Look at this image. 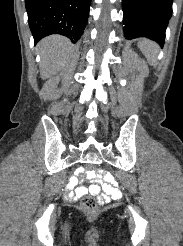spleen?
<instances>
[{"label":"spleen","instance_id":"spleen-1","mask_svg":"<svg viewBox=\"0 0 183 246\" xmlns=\"http://www.w3.org/2000/svg\"><path fill=\"white\" fill-rule=\"evenodd\" d=\"M138 47L144 53L149 63L156 65L159 47L156 43L143 39L138 43Z\"/></svg>","mask_w":183,"mask_h":246}]
</instances>
